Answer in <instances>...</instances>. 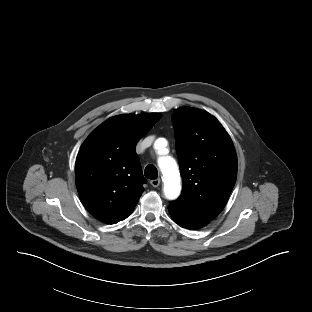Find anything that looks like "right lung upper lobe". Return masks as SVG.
<instances>
[{"mask_svg":"<svg viewBox=\"0 0 312 312\" xmlns=\"http://www.w3.org/2000/svg\"><path fill=\"white\" fill-rule=\"evenodd\" d=\"M160 118L155 113L111 117L82 144L76 186L83 205L98 220L115 224L133 212L146 182L135 146Z\"/></svg>","mask_w":312,"mask_h":312,"instance_id":"1","label":"right lung upper lobe"}]
</instances>
